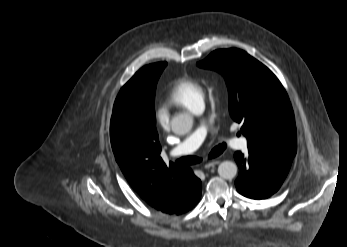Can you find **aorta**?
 <instances>
[{"label":"aorta","instance_id":"762f6f07","mask_svg":"<svg viewBox=\"0 0 347 247\" xmlns=\"http://www.w3.org/2000/svg\"><path fill=\"white\" fill-rule=\"evenodd\" d=\"M193 126V117L187 113H181L173 117L171 128L175 134H187ZM218 174L224 179H233L237 174V165L232 161H223L218 166Z\"/></svg>","mask_w":347,"mask_h":247}]
</instances>
